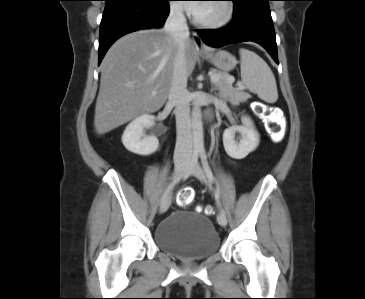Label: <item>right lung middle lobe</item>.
I'll list each match as a JSON object with an SVG mask.
<instances>
[{"instance_id":"dd1d6c3e","label":"right lung middle lobe","mask_w":365,"mask_h":299,"mask_svg":"<svg viewBox=\"0 0 365 299\" xmlns=\"http://www.w3.org/2000/svg\"><path fill=\"white\" fill-rule=\"evenodd\" d=\"M105 1H106V4H108V3L119 1V0H105Z\"/></svg>"}]
</instances>
